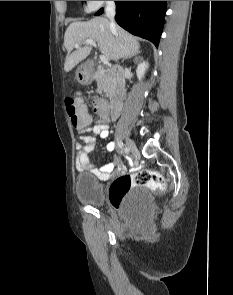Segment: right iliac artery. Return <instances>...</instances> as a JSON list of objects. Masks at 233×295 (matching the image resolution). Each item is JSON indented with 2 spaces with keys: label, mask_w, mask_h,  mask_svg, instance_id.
Instances as JSON below:
<instances>
[{
  "label": "right iliac artery",
  "mask_w": 233,
  "mask_h": 295,
  "mask_svg": "<svg viewBox=\"0 0 233 295\" xmlns=\"http://www.w3.org/2000/svg\"><path fill=\"white\" fill-rule=\"evenodd\" d=\"M124 153H128V147H124Z\"/></svg>",
  "instance_id": "82829eb1"
}]
</instances>
